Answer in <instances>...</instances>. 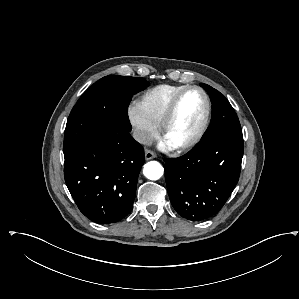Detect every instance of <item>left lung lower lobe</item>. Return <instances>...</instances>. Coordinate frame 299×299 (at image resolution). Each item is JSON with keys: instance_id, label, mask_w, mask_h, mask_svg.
Listing matches in <instances>:
<instances>
[{"instance_id": "left-lung-lower-lobe-1", "label": "left lung lower lobe", "mask_w": 299, "mask_h": 299, "mask_svg": "<svg viewBox=\"0 0 299 299\" xmlns=\"http://www.w3.org/2000/svg\"><path fill=\"white\" fill-rule=\"evenodd\" d=\"M243 137L219 135L201 140L179 158L165 159L167 190L177 213L191 221L212 217L236 186Z\"/></svg>"}]
</instances>
